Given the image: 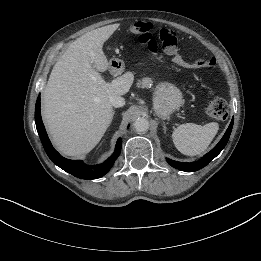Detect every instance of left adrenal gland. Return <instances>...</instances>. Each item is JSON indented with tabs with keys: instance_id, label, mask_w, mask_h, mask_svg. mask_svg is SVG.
Returning a JSON list of instances; mask_svg holds the SVG:
<instances>
[{
	"instance_id": "1",
	"label": "left adrenal gland",
	"mask_w": 261,
	"mask_h": 261,
	"mask_svg": "<svg viewBox=\"0 0 261 261\" xmlns=\"http://www.w3.org/2000/svg\"><path fill=\"white\" fill-rule=\"evenodd\" d=\"M164 130H166V126L164 125Z\"/></svg>"
}]
</instances>
